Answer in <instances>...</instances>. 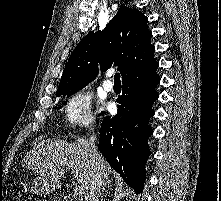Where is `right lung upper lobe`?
<instances>
[{"label":"right lung upper lobe","mask_w":221,"mask_h":201,"mask_svg":"<svg viewBox=\"0 0 221 201\" xmlns=\"http://www.w3.org/2000/svg\"><path fill=\"white\" fill-rule=\"evenodd\" d=\"M146 16L122 7L101 32L90 31L76 46L63 71L56 94L80 90L101 71L119 66L122 80L156 63Z\"/></svg>","instance_id":"obj_1"}]
</instances>
